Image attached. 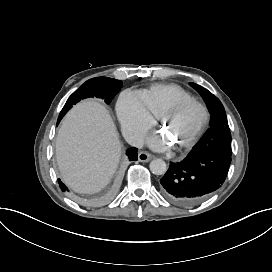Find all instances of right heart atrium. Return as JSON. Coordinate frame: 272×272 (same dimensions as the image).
Masks as SVG:
<instances>
[{
    "mask_svg": "<svg viewBox=\"0 0 272 272\" xmlns=\"http://www.w3.org/2000/svg\"><path fill=\"white\" fill-rule=\"evenodd\" d=\"M118 110L124 130L134 140L143 137L157 122V116L137 92L124 91L118 101Z\"/></svg>",
    "mask_w": 272,
    "mask_h": 272,
    "instance_id": "1",
    "label": "right heart atrium"
}]
</instances>
